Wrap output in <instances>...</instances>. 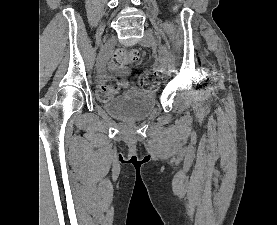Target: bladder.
Here are the masks:
<instances>
[{
    "instance_id": "1",
    "label": "bladder",
    "mask_w": 277,
    "mask_h": 225,
    "mask_svg": "<svg viewBox=\"0 0 277 225\" xmlns=\"http://www.w3.org/2000/svg\"><path fill=\"white\" fill-rule=\"evenodd\" d=\"M156 107V93L141 89L124 92L105 103L108 113L125 120L147 118Z\"/></svg>"
}]
</instances>
